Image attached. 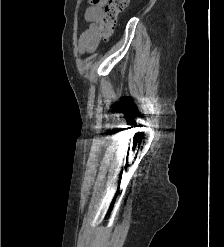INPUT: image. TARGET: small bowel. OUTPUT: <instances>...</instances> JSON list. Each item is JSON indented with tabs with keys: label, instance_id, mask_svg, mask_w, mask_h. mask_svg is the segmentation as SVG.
I'll list each match as a JSON object with an SVG mask.
<instances>
[{
	"label": "small bowel",
	"instance_id": "small-bowel-1",
	"mask_svg": "<svg viewBox=\"0 0 224 247\" xmlns=\"http://www.w3.org/2000/svg\"><path fill=\"white\" fill-rule=\"evenodd\" d=\"M107 0H91L92 5L87 9L85 18L89 26L83 31L80 37V49L83 53L93 52L100 40L99 23L103 16L102 7Z\"/></svg>",
	"mask_w": 224,
	"mask_h": 247
}]
</instances>
